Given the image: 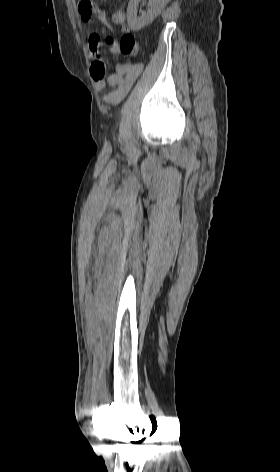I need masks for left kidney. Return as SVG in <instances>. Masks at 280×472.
<instances>
[{"mask_svg":"<svg viewBox=\"0 0 280 472\" xmlns=\"http://www.w3.org/2000/svg\"><path fill=\"white\" fill-rule=\"evenodd\" d=\"M139 1L140 0H130L127 8L128 25L133 30H140L145 25L152 22L161 12L168 0H149V9L146 12H143L140 16H137L136 8Z\"/></svg>","mask_w":280,"mask_h":472,"instance_id":"left-kidney-1","label":"left kidney"}]
</instances>
